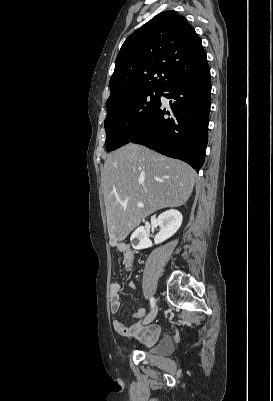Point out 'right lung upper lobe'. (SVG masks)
<instances>
[{"mask_svg": "<svg viewBox=\"0 0 273 401\" xmlns=\"http://www.w3.org/2000/svg\"><path fill=\"white\" fill-rule=\"evenodd\" d=\"M206 61L201 39L185 17L173 10L159 13L123 43L107 106L142 91L162 90L181 70Z\"/></svg>", "mask_w": 273, "mask_h": 401, "instance_id": "right-lung-upper-lobe-1", "label": "right lung upper lobe"}]
</instances>
